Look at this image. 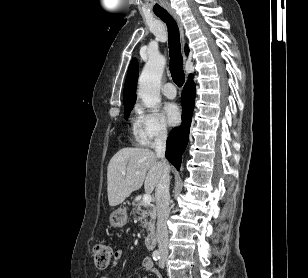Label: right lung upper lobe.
Returning a JSON list of instances; mask_svg holds the SVG:
<instances>
[{"label": "right lung upper lobe", "mask_w": 308, "mask_h": 278, "mask_svg": "<svg viewBox=\"0 0 308 278\" xmlns=\"http://www.w3.org/2000/svg\"><path fill=\"white\" fill-rule=\"evenodd\" d=\"M186 54H188L189 50L188 47H185ZM137 78H138V66H137V60L133 59L130 63L128 72H127V78L124 86V95H123V101L124 105L127 104H133L136 100V94H135V88L137 84Z\"/></svg>", "instance_id": "1"}]
</instances>
